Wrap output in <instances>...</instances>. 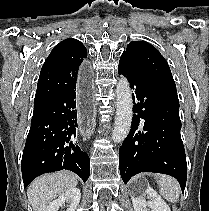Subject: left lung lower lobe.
Listing matches in <instances>:
<instances>
[{"mask_svg":"<svg viewBox=\"0 0 209 211\" xmlns=\"http://www.w3.org/2000/svg\"><path fill=\"white\" fill-rule=\"evenodd\" d=\"M118 72L133 89L135 113L130 133L119 149L124 183L140 172L163 173L175 177L184 192L187 163L176 89L152 80L124 58H120Z\"/></svg>","mask_w":209,"mask_h":211,"instance_id":"1","label":"left lung lower lobe"}]
</instances>
